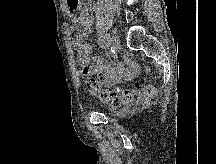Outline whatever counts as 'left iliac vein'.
<instances>
[{
	"label": "left iliac vein",
	"mask_w": 216,
	"mask_h": 164,
	"mask_svg": "<svg viewBox=\"0 0 216 164\" xmlns=\"http://www.w3.org/2000/svg\"><path fill=\"white\" fill-rule=\"evenodd\" d=\"M111 45H114V48H116V51L120 48V40L117 35H113L111 39Z\"/></svg>",
	"instance_id": "4c4485c4"
}]
</instances>
